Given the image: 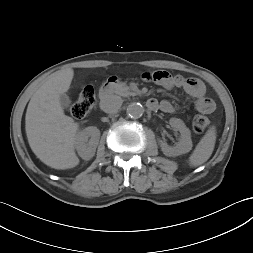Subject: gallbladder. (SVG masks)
Returning a JSON list of instances; mask_svg holds the SVG:
<instances>
[{
	"label": "gallbladder",
	"instance_id": "bac80fb5",
	"mask_svg": "<svg viewBox=\"0 0 253 253\" xmlns=\"http://www.w3.org/2000/svg\"><path fill=\"white\" fill-rule=\"evenodd\" d=\"M59 102H60L62 108H64V109L68 108L71 104V100H70L69 96L65 93H63L59 96Z\"/></svg>",
	"mask_w": 253,
	"mask_h": 253
}]
</instances>
